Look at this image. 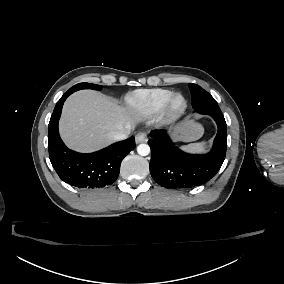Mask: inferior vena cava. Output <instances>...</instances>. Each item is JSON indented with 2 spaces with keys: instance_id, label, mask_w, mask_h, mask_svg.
Listing matches in <instances>:
<instances>
[{
  "instance_id": "1",
  "label": "inferior vena cava",
  "mask_w": 284,
  "mask_h": 284,
  "mask_svg": "<svg viewBox=\"0 0 284 284\" xmlns=\"http://www.w3.org/2000/svg\"><path fill=\"white\" fill-rule=\"evenodd\" d=\"M125 129L127 131H122L114 135V140L119 141V140H124L128 137V132L131 131L132 127L131 126H126Z\"/></svg>"
}]
</instances>
